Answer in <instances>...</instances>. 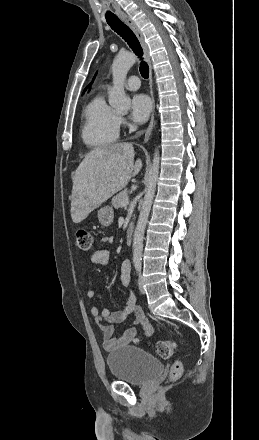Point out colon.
<instances>
[{"instance_id": "colon-1", "label": "colon", "mask_w": 259, "mask_h": 440, "mask_svg": "<svg viewBox=\"0 0 259 440\" xmlns=\"http://www.w3.org/2000/svg\"><path fill=\"white\" fill-rule=\"evenodd\" d=\"M76 247L80 251H90L93 247V236L89 230L80 228L76 232ZM177 349L175 342L171 340H161L156 344V352L162 358L172 357ZM183 367L180 361H175L170 369L169 377L171 380L177 379L182 373Z\"/></svg>"}]
</instances>
